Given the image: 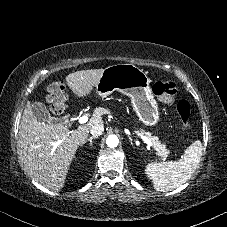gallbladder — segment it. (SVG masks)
Here are the masks:
<instances>
[{
    "instance_id": "gallbladder-1",
    "label": "gallbladder",
    "mask_w": 227,
    "mask_h": 227,
    "mask_svg": "<svg viewBox=\"0 0 227 227\" xmlns=\"http://www.w3.org/2000/svg\"><path fill=\"white\" fill-rule=\"evenodd\" d=\"M31 109H32V113H33V116L38 120V121H41V122H46V123H66L67 119L64 117V118H61V119H53L47 109V107L40 103V102H34L32 105H31Z\"/></svg>"
}]
</instances>
